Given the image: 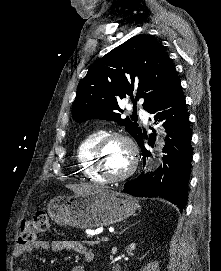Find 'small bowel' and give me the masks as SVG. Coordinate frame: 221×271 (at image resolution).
<instances>
[{"instance_id":"small-bowel-1","label":"small bowel","mask_w":221,"mask_h":271,"mask_svg":"<svg viewBox=\"0 0 221 271\" xmlns=\"http://www.w3.org/2000/svg\"><path fill=\"white\" fill-rule=\"evenodd\" d=\"M34 249L44 250L51 253H60L62 251L67 250L84 255L87 258H91V253L88 251V249L81 242L72 239H54L52 241H48L45 239L35 238L29 244L18 245L14 249V255L18 257L24 253H30ZM84 270L85 269L82 265H76L71 269V271H84Z\"/></svg>"}]
</instances>
